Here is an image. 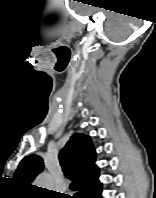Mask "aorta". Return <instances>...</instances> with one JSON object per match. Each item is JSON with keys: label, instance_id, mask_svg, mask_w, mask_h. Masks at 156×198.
Returning <instances> with one entry per match:
<instances>
[{"label": "aorta", "instance_id": "obj_1", "mask_svg": "<svg viewBox=\"0 0 156 198\" xmlns=\"http://www.w3.org/2000/svg\"><path fill=\"white\" fill-rule=\"evenodd\" d=\"M35 183L37 184L38 187L42 188H51L52 187V178L49 174L43 173L38 178L36 179Z\"/></svg>", "mask_w": 156, "mask_h": 198}]
</instances>
